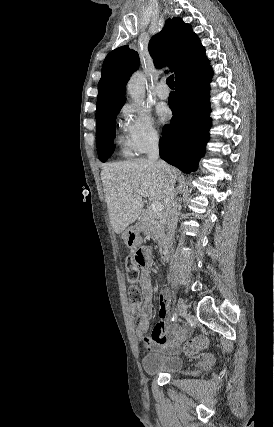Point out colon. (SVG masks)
Wrapping results in <instances>:
<instances>
[{"label":"colon","mask_w":274,"mask_h":427,"mask_svg":"<svg viewBox=\"0 0 274 427\" xmlns=\"http://www.w3.org/2000/svg\"><path fill=\"white\" fill-rule=\"evenodd\" d=\"M147 255L143 250L136 249L132 251L126 260V273L129 282V301L130 308H134L140 304L142 300V292L137 286V273L146 263ZM208 345V338L205 335H197L191 340L185 342L184 351L187 354L200 353Z\"/></svg>","instance_id":"obj_1"}]
</instances>
